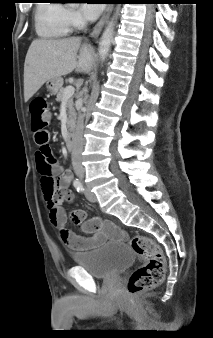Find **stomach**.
I'll return each mask as SVG.
<instances>
[{
    "label": "stomach",
    "mask_w": 213,
    "mask_h": 338,
    "mask_svg": "<svg viewBox=\"0 0 213 338\" xmlns=\"http://www.w3.org/2000/svg\"><path fill=\"white\" fill-rule=\"evenodd\" d=\"M63 84V79L61 77L50 79L46 82L47 90L51 94H56Z\"/></svg>",
    "instance_id": "1"
}]
</instances>
